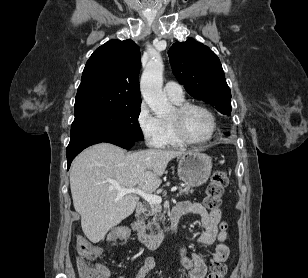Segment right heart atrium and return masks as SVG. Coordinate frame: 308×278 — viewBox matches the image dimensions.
<instances>
[{
	"label": "right heart atrium",
	"mask_w": 308,
	"mask_h": 278,
	"mask_svg": "<svg viewBox=\"0 0 308 278\" xmlns=\"http://www.w3.org/2000/svg\"><path fill=\"white\" fill-rule=\"evenodd\" d=\"M137 125L143 139L149 146H163L165 131L162 120L156 117L144 102L139 107Z\"/></svg>",
	"instance_id": "d8ad5b80"
}]
</instances>
